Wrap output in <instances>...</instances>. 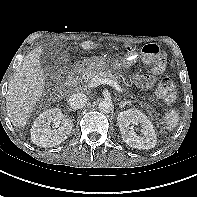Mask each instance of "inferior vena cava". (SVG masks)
<instances>
[{"instance_id": "inferior-vena-cava-1", "label": "inferior vena cava", "mask_w": 197, "mask_h": 197, "mask_svg": "<svg viewBox=\"0 0 197 197\" xmlns=\"http://www.w3.org/2000/svg\"><path fill=\"white\" fill-rule=\"evenodd\" d=\"M68 102L72 109H81L87 104V96L84 93H75L70 96Z\"/></svg>"}]
</instances>
